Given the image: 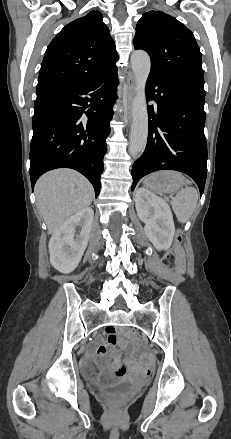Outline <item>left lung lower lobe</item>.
I'll list each match as a JSON object with an SVG mask.
<instances>
[{
    "instance_id": "0a47b994",
    "label": "left lung lower lobe",
    "mask_w": 231,
    "mask_h": 439,
    "mask_svg": "<svg viewBox=\"0 0 231 439\" xmlns=\"http://www.w3.org/2000/svg\"><path fill=\"white\" fill-rule=\"evenodd\" d=\"M146 94L157 110L148 107V141L132 167V190L143 176L170 169L189 175L202 195L207 175L204 83L149 76Z\"/></svg>"
}]
</instances>
